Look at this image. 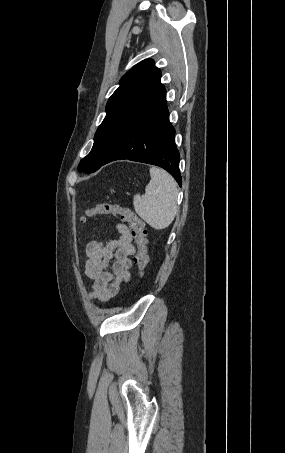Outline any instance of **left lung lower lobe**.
<instances>
[{
  "label": "left lung lower lobe",
  "mask_w": 285,
  "mask_h": 453,
  "mask_svg": "<svg viewBox=\"0 0 285 453\" xmlns=\"http://www.w3.org/2000/svg\"><path fill=\"white\" fill-rule=\"evenodd\" d=\"M122 159L160 166L181 186L180 155L175 144V130L169 122L165 87L128 126L103 165Z\"/></svg>",
  "instance_id": "1"
}]
</instances>
